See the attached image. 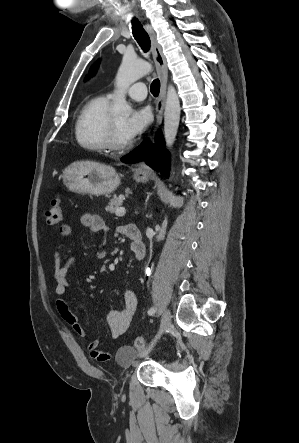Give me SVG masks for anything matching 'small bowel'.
Listing matches in <instances>:
<instances>
[{"label": "small bowel", "instance_id": "obj_1", "mask_svg": "<svg viewBox=\"0 0 299 443\" xmlns=\"http://www.w3.org/2000/svg\"><path fill=\"white\" fill-rule=\"evenodd\" d=\"M82 226L88 228L94 235L98 237V246L95 253L97 259H103L107 255L106 236L109 231L104 220L98 215L84 214L80 218ZM127 227L120 228V232L126 235ZM72 227L70 224H62L59 228V233L63 237H68L72 234ZM62 244H58L54 255V277H55V293H56V308L60 316L66 321L73 331L80 337L87 336L85 328L82 326L80 320L71 309L65 293L67 290V273L70 267L76 262L77 256H70L63 261L61 257ZM135 260L143 258L135 255ZM123 306L120 309L110 310L106 317L108 329L113 338L122 336L129 328L133 316L136 312L138 300L134 291L126 289L122 293ZM87 348L93 359L104 362L112 358L108 352H103L99 349V342L97 340H88Z\"/></svg>", "mask_w": 299, "mask_h": 443}]
</instances>
